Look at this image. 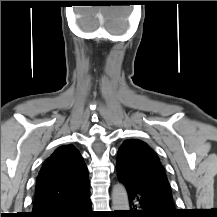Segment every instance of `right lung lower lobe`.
<instances>
[{"label":"right lung lower lobe","mask_w":217,"mask_h":217,"mask_svg":"<svg viewBox=\"0 0 217 217\" xmlns=\"http://www.w3.org/2000/svg\"><path fill=\"white\" fill-rule=\"evenodd\" d=\"M89 193L62 200L44 210L30 213V217H93Z\"/></svg>","instance_id":"98d812e1"}]
</instances>
